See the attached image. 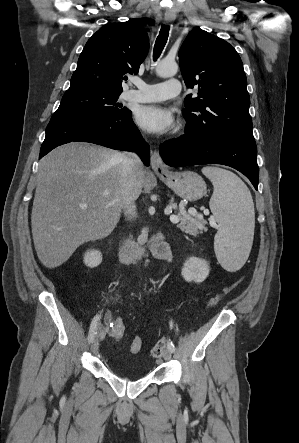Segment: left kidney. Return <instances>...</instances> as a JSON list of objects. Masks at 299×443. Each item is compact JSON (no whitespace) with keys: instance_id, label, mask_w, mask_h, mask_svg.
Instances as JSON below:
<instances>
[{"instance_id":"1","label":"left kidney","mask_w":299,"mask_h":443,"mask_svg":"<svg viewBox=\"0 0 299 443\" xmlns=\"http://www.w3.org/2000/svg\"><path fill=\"white\" fill-rule=\"evenodd\" d=\"M210 268L206 260L191 257L183 265L181 275L187 282H203L209 275Z\"/></svg>"}]
</instances>
